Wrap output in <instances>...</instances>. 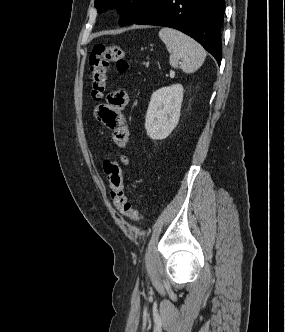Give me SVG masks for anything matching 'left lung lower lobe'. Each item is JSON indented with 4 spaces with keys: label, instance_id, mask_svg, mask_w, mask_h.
<instances>
[{
    "label": "left lung lower lobe",
    "instance_id": "1",
    "mask_svg": "<svg viewBox=\"0 0 285 332\" xmlns=\"http://www.w3.org/2000/svg\"><path fill=\"white\" fill-rule=\"evenodd\" d=\"M225 0H157L134 23L166 26L198 41L221 63V26Z\"/></svg>",
    "mask_w": 285,
    "mask_h": 332
}]
</instances>
